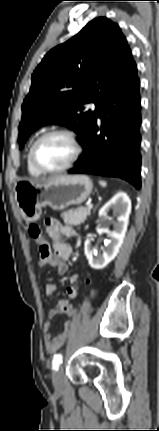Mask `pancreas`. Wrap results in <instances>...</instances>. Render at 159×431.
<instances>
[{"label":"pancreas","instance_id":"1","mask_svg":"<svg viewBox=\"0 0 159 431\" xmlns=\"http://www.w3.org/2000/svg\"><path fill=\"white\" fill-rule=\"evenodd\" d=\"M90 214L91 209L79 207L77 209H70L62 213L61 217L66 224L78 226L83 223Z\"/></svg>","mask_w":159,"mask_h":431}]
</instances>
